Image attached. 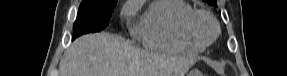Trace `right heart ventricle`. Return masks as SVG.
Returning a JSON list of instances; mask_svg holds the SVG:
<instances>
[{
    "mask_svg": "<svg viewBox=\"0 0 287 76\" xmlns=\"http://www.w3.org/2000/svg\"><path fill=\"white\" fill-rule=\"evenodd\" d=\"M194 11L184 0H159L144 13L135 29L136 37L152 50L195 54L205 47L186 32V19Z\"/></svg>",
    "mask_w": 287,
    "mask_h": 76,
    "instance_id": "e07e8e85",
    "label": "right heart ventricle"
}]
</instances>
